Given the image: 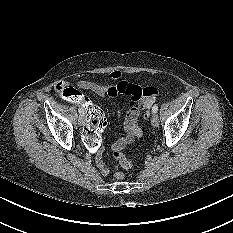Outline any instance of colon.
Instances as JSON below:
<instances>
[{
	"label": "colon",
	"mask_w": 233,
	"mask_h": 233,
	"mask_svg": "<svg viewBox=\"0 0 233 233\" xmlns=\"http://www.w3.org/2000/svg\"><path fill=\"white\" fill-rule=\"evenodd\" d=\"M147 95L157 94L156 88H148L145 92ZM61 94L64 96L66 100L80 99L84 103V107L87 111L89 117V125L85 128L82 139L84 145L86 147L87 153L89 155H96L98 153L99 148L101 147L102 136L104 129L106 127V118L103 112L93 105L89 99L83 97L76 89L69 87L65 88L61 91ZM149 117V108L146 109L144 113V118L147 119ZM114 157L118 160L121 167L125 169H129L133 166L132 161L125 158L122 152L113 153ZM117 179H122L123 174L117 173Z\"/></svg>",
	"instance_id": "1"
}]
</instances>
